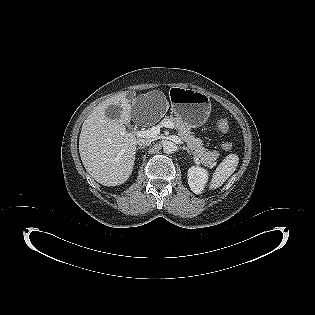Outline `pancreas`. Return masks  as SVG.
Returning <instances> with one entry per match:
<instances>
[{"instance_id": "pancreas-1", "label": "pancreas", "mask_w": 315, "mask_h": 315, "mask_svg": "<svg viewBox=\"0 0 315 315\" xmlns=\"http://www.w3.org/2000/svg\"><path fill=\"white\" fill-rule=\"evenodd\" d=\"M161 122L173 123L181 140L187 144V148L190 150V152L195 157L199 158L205 166L213 167L216 164V159L219 157V152L216 150L209 151L208 149L204 148L202 140L195 138L190 128L185 125L181 118L165 116Z\"/></svg>"}]
</instances>
